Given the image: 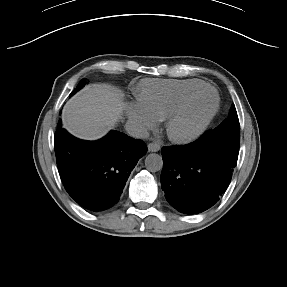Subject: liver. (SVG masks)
Wrapping results in <instances>:
<instances>
[{"label": "liver", "mask_w": 287, "mask_h": 287, "mask_svg": "<svg viewBox=\"0 0 287 287\" xmlns=\"http://www.w3.org/2000/svg\"><path fill=\"white\" fill-rule=\"evenodd\" d=\"M124 107L118 88L105 83L91 84L65 104L63 127L77 138L96 140L115 127Z\"/></svg>", "instance_id": "1"}]
</instances>
